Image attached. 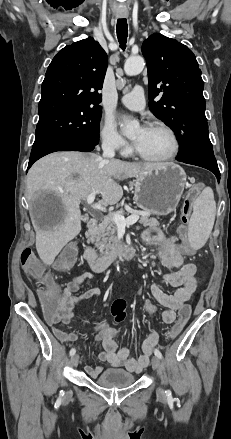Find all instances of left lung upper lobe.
<instances>
[{"mask_svg":"<svg viewBox=\"0 0 231 439\" xmlns=\"http://www.w3.org/2000/svg\"><path fill=\"white\" fill-rule=\"evenodd\" d=\"M149 79V108L177 135L178 158L200 156L216 161L205 116L204 83L193 52L162 34L144 41ZM162 96L157 102L154 98Z\"/></svg>","mask_w":231,"mask_h":439,"instance_id":"left-lung-upper-lobe-1","label":"left lung upper lobe"}]
</instances>
